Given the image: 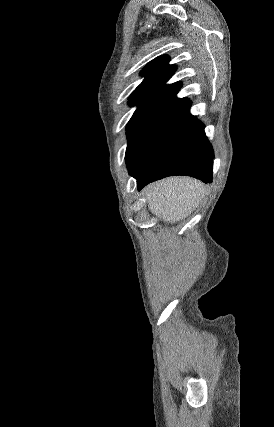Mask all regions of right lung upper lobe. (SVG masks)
Masks as SVG:
<instances>
[{
	"mask_svg": "<svg viewBox=\"0 0 274 427\" xmlns=\"http://www.w3.org/2000/svg\"><path fill=\"white\" fill-rule=\"evenodd\" d=\"M168 60L169 58L164 55L147 64L141 72L145 79L129 97L131 105L157 101L174 106L188 100L175 97L182 86L180 82L165 84L176 71V66L168 65Z\"/></svg>",
	"mask_w": 274,
	"mask_h": 427,
	"instance_id": "1",
	"label": "right lung upper lobe"
}]
</instances>
